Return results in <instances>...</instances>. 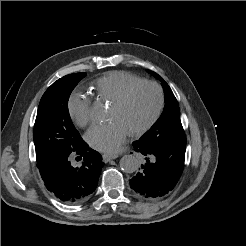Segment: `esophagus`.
I'll list each match as a JSON object with an SVG mask.
<instances>
[{
  "instance_id": "esophagus-1",
  "label": "esophagus",
  "mask_w": 246,
  "mask_h": 246,
  "mask_svg": "<svg viewBox=\"0 0 246 246\" xmlns=\"http://www.w3.org/2000/svg\"><path fill=\"white\" fill-rule=\"evenodd\" d=\"M117 157H118V155H116V154H103L102 155L103 161L105 163L109 162L112 159H116Z\"/></svg>"
}]
</instances>
